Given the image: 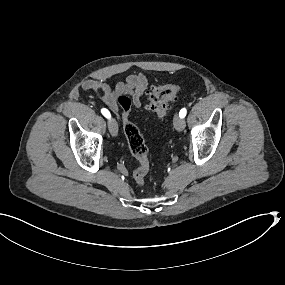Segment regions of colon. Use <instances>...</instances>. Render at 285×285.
<instances>
[{
    "label": "colon",
    "instance_id": "5ec220e1",
    "mask_svg": "<svg viewBox=\"0 0 285 285\" xmlns=\"http://www.w3.org/2000/svg\"><path fill=\"white\" fill-rule=\"evenodd\" d=\"M180 90L176 85H163L153 87L149 93L147 108L154 112L158 118L163 119L167 113L170 102H172ZM117 103L121 109L124 133L128 142L131 154L139 162L134 171L133 177L139 186H143L145 178L150 170L148 148L138 127L129 119L130 111L134 105V98L131 94H120Z\"/></svg>",
    "mask_w": 285,
    "mask_h": 285
}]
</instances>
